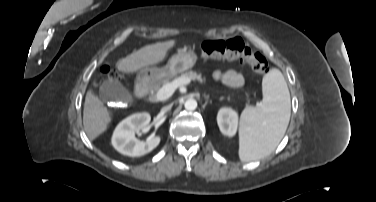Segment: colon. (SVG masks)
Returning <instances> with one entry per match:
<instances>
[{
	"label": "colon",
	"instance_id": "5ec220e1",
	"mask_svg": "<svg viewBox=\"0 0 376 202\" xmlns=\"http://www.w3.org/2000/svg\"><path fill=\"white\" fill-rule=\"evenodd\" d=\"M199 53L203 58H223L235 59L247 63L252 69L260 74H266L269 71V65L263 54L253 51L240 38L229 40H207L198 45ZM102 74L105 77L117 80L118 72L110 66L102 68Z\"/></svg>",
	"mask_w": 376,
	"mask_h": 202
}]
</instances>
